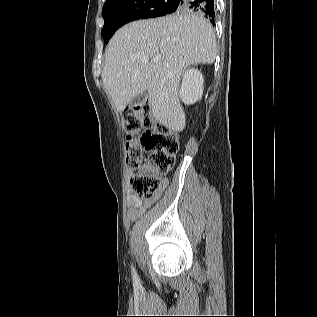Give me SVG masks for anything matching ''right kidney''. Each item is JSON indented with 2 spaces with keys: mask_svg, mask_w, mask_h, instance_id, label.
Segmentation results:
<instances>
[{
  "mask_svg": "<svg viewBox=\"0 0 317 317\" xmlns=\"http://www.w3.org/2000/svg\"><path fill=\"white\" fill-rule=\"evenodd\" d=\"M203 76L197 69H189L183 75L180 98L185 104H193L203 95Z\"/></svg>",
  "mask_w": 317,
  "mask_h": 317,
  "instance_id": "obj_1",
  "label": "right kidney"
}]
</instances>
